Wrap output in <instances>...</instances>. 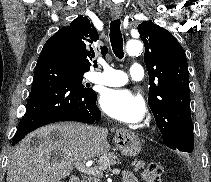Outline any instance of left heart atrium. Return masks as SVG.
I'll use <instances>...</instances> for the list:
<instances>
[{"instance_id": "left-heart-atrium-1", "label": "left heart atrium", "mask_w": 211, "mask_h": 182, "mask_svg": "<svg viewBox=\"0 0 211 182\" xmlns=\"http://www.w3.org/2000/svg\"><path fill=\"white\" fill-rule=\"evenodd\" d=\"M103 111L115 120L134 124L145 115V104L141 97L127 89H106L100 96Z\"/></svg>"}]
</instances>
